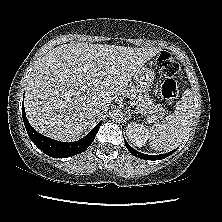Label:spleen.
Masks as SVG:
<instances>
[{"mask_svg": "<svg viewBox=\"0 0 222 222\" xmlns=\"http://www.w3.org/2000/svg\"><path fill=\"white\" fill-rule=\"evenodd\" d=\"M194 113L193 92L186 90L181 101L176 104L174 113L149 128L148 139L151 148L156 151H171L178 147L192 127Z\"/></svg>", "mask_w": 222, "mask_h": 222, "instance_id": "3e777b00", "label": "spleen"}]
</instances>
